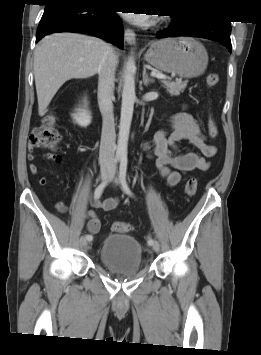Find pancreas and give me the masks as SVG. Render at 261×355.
I'll return each instance as SVG.
<instances>
[{"label":"pancreas","instance_id":"1","mask_svg":"<svg viewBox=\"0 0 261 355\" xmlns=\"http://www.w3.org/2000/svg\"><path fill=\"white\" fill-rule=\"evenodd\" d=\"M162 83L164 84L165 88L170 93V95L178 96L180 95V93H182L185 90L188 81L171 82L168 80H162Z\"/></svg>","mask_w":261,"mask_h":355}]
</instances>
